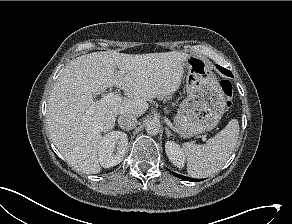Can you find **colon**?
<instances>
[{"label": "colon", "instance_id": "1", "mask_svg": "<svg viewBox=\"0 0 292 224\" xmlns=\"http://www.w3.org/2000/svg\"><path fill=\"white\" fill-rule=\"evenodd\" d=\"M221 90L226 98V105L227 107H230L232 104V98H233V87L229 80H222L220 82Z\"/></svg>", "mask_w": 292, "mask_h": 224}]
</instances>
